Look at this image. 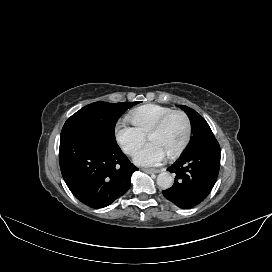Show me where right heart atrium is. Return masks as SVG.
<instances>
[{"label": "right heart atrium", "instance_id": "right-heart-atrium-1", "mask_svg": "<svg viewBox=\"0 0 272 272\" xmlns=\"http://www.w3.org/2000/svg\"><path fill=\"white\" fill-rule=\"evenodd\" d=\"M115 136L122 150L129 155L135 154L146 140V135L126 120L117 122Z\"/></svg>", "mask_w": 272, "mask_h": 272}]
</instances>
